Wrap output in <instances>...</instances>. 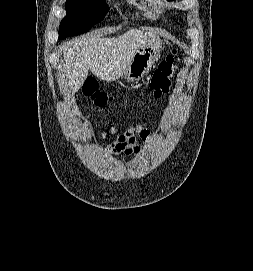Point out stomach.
I'll return each instance as SVG.
<instances>
[{
	"instance_id": "stomach-1",
	"label": "stomach",
	"mask_w": 253,
	"mask_h": 271,
	"mask_svg": "<svg viewBox=\"0 0 253 271\" xmlns=\"http://www.w3.org/2000/svg\"><path fill=\"white\" fill-rule=\"evenodd\" d=\"M161 50L162 42L160 40L150 41L142 45L123 73V78L129 82L138 81L143 78L157 61Z\"/></svg>"
}]
</instances>
